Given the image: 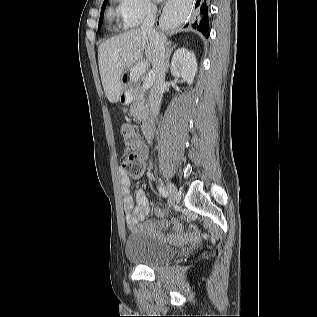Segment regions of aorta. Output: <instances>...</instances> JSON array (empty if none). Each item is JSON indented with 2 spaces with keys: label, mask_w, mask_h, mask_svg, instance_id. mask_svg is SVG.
Instances as JSON below:
<instances>
[{
  "label": "aorta",
  "mask_w": 317,
  "mask_h": 317,
  "mask_svg": "<svg viewBox=\"0 0 317 317\" xmlns=\"http://www.w3.org/2000/svg\"><path fill=\"white\" fill-rule=\"evenodd\" d=\"M181 21V18L176 13H170L166 16L165 25L166 27L177 26Z\"/></svg>",
  "instance_id": "aorta-1"
}]
</instances>
